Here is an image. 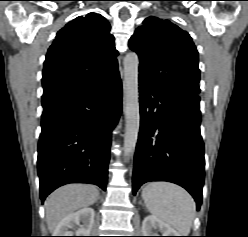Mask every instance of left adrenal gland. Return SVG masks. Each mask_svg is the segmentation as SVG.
Listing matches in <instances>:
<instances>
[{
    "instance_id": "1",
    "label": "left adrenal gland",
    "mask_w": 248,
    "mask_h": 237,
    "mask_svg": "<svg viewBox=\"0 0 248 237\" xmlns=\"http://www.w3.org/2000/svg\"><path fill=\"white\" fill-rule=\"evenodd\" d=\"M139 204H142V201L141 200L139 201Z\"/></svg>"
}]
</instances>
